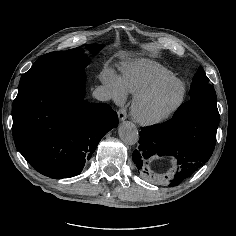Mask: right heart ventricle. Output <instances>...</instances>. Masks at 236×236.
<instances>
[{"instance_id":"obj_1","label":"right heart ventricle","mask_w":236,"mask_h":236,"mask_svg":"<svg viewBox=\"0 0 236 236\" xmlns=\"http://www.w3.org/2000/svg\"><path fill=\"white\" fill-rule=\"evenodd\" d=\"M174 77L171 70L148 59H137L125 64L121 75L127 92L133 95L157 81Z\"/></svg>"}]
</instances>
